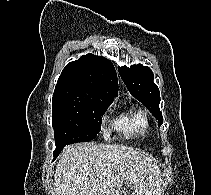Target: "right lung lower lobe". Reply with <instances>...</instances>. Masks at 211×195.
I'll list each match as a JSON object with an SVG mask.
<instances>
[{"instance_id": "98d812e1", "label": "right lung lower lobe", "mask_w": 211, "mask_h": 195, "mask_svg": "<svg viewBox=\"0 0 211 195\" xmlns=\"http://www.w3.org/2000/svg\"><path fill=\"white\" fill-rule=\"evenodd\" d=\"M62 151V150H61ZM61 151H57L53 153L54 159L61 153Z\"/></svg>"}]
</instances>
